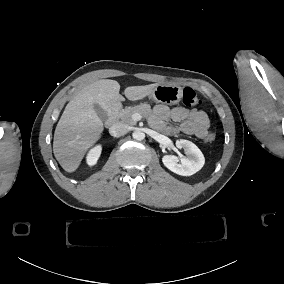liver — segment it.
<instances>
[{
	"mask_svg": "<svg viewBox=\"0 0 284 284\" xmlns=\"http://www.w3.org/2000/svg\"><path fill=\"white\" fill-rule=\"evenodd\" d=\"M160 85L129 86L124 95L136 102L152 95ZM120 84L115 80L102 79L84 85L66 105L54 131L53 154L67 173L77 171L88 151L101 139L104 123L96 108L105 112L124 102L119 94Z\"/></svg>",
	"mask_w": 284,
	"mask_h": 284,
	"instance_id": "6515ba94",
	"label": "liver"
}]
</instances>
